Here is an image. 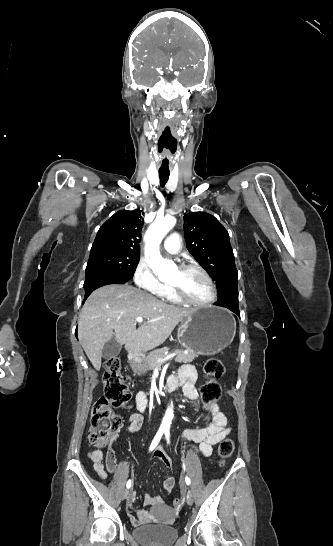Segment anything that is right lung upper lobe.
I'll list each match as a JSON object with an SVG mask.
<instances>
[{"instance_id": "1", "label": "right lung upper lobe", "mask_w": 333, "mask_h": 546, "mask_svg": "<svg viewBox=\"0 0 333 546\" xmlns=\"http://www.w3.org/2000/svg\"><path fill=\"white\" fill-rule=\"evenodd\" d=\"M142 220L138 209L118 211L100 227L91 251L116 249L140 254Z\"/></svg>"}]
</instances>
